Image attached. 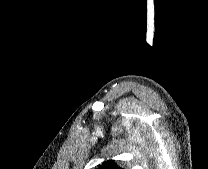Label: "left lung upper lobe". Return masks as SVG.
Masks as SVG:
<instances>
[{"instance_id":"1","label":"left lung upper lobe","mask_w":208,"mask_h":169,"mask_svg":"<svg viewBox=\"0 0 208 169\" xmlns=\"http://www.w3.org/2000/svg\"><path fill=\"white\" fill-rule=\"evenodd\" d=\"M99 169H121L118 167L114 161L109 160L104 162L102 165H99Z\"/></svg>"}]
</instances>
